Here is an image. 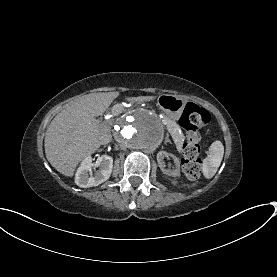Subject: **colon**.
<instances>
[{
  "label": "colon",
  "instance_id": "1",
  "mask_svg": "<svg viewBox=\"0 0 277 277\" xmlns=\"http://www.w3.org/2000/svg\"><path fill=\"white\" fill-rule=\"evenodd\" d=\"M210 113L193 103L185 106L179 119L181 127L186 131V139L179 150L182 155L181 166L184 174L192 179H200L203 175V163L199 156V141L202 130L210 123Z\"/></svg>",
  "mask_w": 277,
  "mask_h": 277
}]
</instances>
